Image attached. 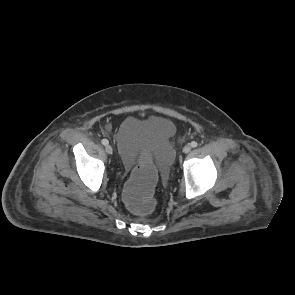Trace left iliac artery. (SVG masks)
I'll return each mask as SVG.
<instances>
[{"label":"left iliac artery","instance_id":"44dca946","mask_svg":"<svg viewBox=\"0 0 295 295\" xmlns=\"http://www.w3.org/2000/svg\"><path fill=\"white\" fill-rule=\"evenodd\" d=\"M190 145L191 147L195 148L198 146V143L196 141H192Z\"/></svg>","mask_w":295,"mask_h":295}]
</instances>
